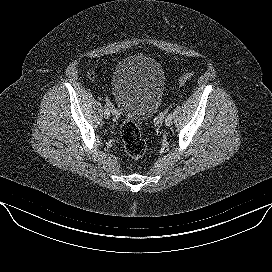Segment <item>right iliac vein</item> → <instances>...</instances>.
Listing matches in <instances>:
<instances>
[{
    "label": "right iliac vein",
    "instance_id": "63e3f726",
    "mask_svg": "<svg viewBox=\"0 0 272 272\" xmlns=\"http://www.w3.org/2000/svg\"><path fill=\"white\" fill-rule=\"evenodd\" d=\"M105 111H106V112H105ZM104 117H105L106 119H109V118H110V110H109V109L104 110Z\"/></svg>",
    "mask_w": 272,
    "mask_h": 272
}]
</instances>
